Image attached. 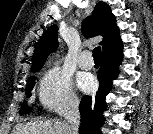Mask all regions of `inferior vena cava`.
<instances>
[{
  "instance_id": "inferior-vena-cava-1",
  "label": "inferior vena cava",
  "mask_w": 153,
  "mask_h": 134,
  "mask_svg": "<svg viewBox=\"0 0 153 134\" xmlns=\"http://www.w3.org/2000/svg\"><path fill=\"white\" fill-rule=\"evenodd\" d=\"M65 134H78L79 124H80V112H79V101H72L65 114Z\"/></svg>"
}]
</instances>
